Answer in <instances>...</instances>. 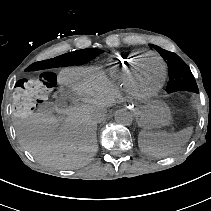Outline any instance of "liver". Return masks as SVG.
I'll return each mask as SVG.
<instances>
[{"label": "liver", "instance_id": "6515ba94", "mask_svg": "<svg viewBox=\"0 0 211 211\" xmlns=\"http://www.w3.org/2000/svg\"><path fill=\"white\" fill-rule=\"evenodd\" d=\"M58 83L69 86L84 104L63 111L61 122L43 111L15 122L22 144L42 164L58 169H75L86 165L97 146V114L115 103L119 93L95 80L87 68L74 67L58 75Z\"/></svg>", "mask_w": 211, "mask_h": 211}]
</instances>
